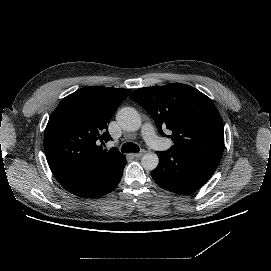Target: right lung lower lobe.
Instances as JSON below:
<instances>
[{
  "label": "right lung lower lobe",
  "instance_id": "98d812e1",
  "mask_svg": "<svg viewBox=\"0 0 271 271\" xmlns=\"http://www.w3.org/2000/svg\"><path fill=\"white\" fill-rule=\"evenodd\" d=\"M125 165H126V158L122 160L121 166L108 179L104 180L103 182L99 184H96L92 188L78 189L71 193L81 198H96V197H99L111 192L112 190L115 189V187L120 182Z\"/></svg>",
  "mask_w": 271,
  "mask_h": 271
}]
</instances>
